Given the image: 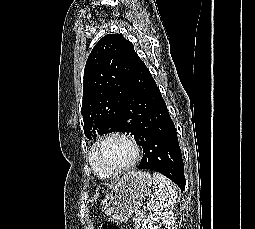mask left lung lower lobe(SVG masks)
Returning a JSON list of instances; mask_svg holds the SVG:
<instances>
[{
  "label": "left lung lower lobe",
  "mask_w": 255,
  "mask_h": 229,
  "mask_svg": "<svg viewBox=\"0 0 255 229\" xmlns=\"http://www.w3.org/2000/svg\"><path fill=\"white\" fill-rule=\"evenodd\" d=\"M127 133L142 146L138 169L159 172L185 189L184 164L166 103L151 73L140 60L125 94L119 116Z\"/></svg>",
  "instance_id": "obj_1"
}]
</instances>
